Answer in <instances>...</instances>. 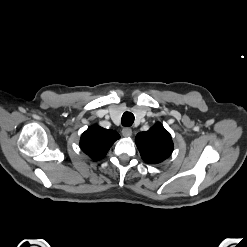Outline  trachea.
<instances>
[{
  "instance_id": "trachea-1",
  "label": "trachea",
  "mask_w": 247,
  "mask_h": 247,
  "mask_svg": "<svg viewBox=\"0 0 247 247\" xmlns=\"http://www.w3.org/2000/svg\"><path fill=\"white\" fill-rule=\"evenodd\" d=\"M134 122V115L131 112H125L122 115L121 123L123 126L130 127Z\"/></svg>"
}]
</instances>
